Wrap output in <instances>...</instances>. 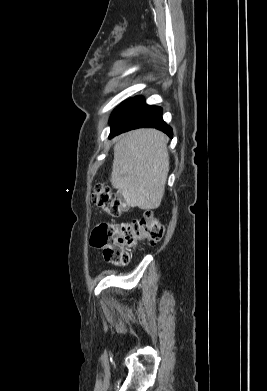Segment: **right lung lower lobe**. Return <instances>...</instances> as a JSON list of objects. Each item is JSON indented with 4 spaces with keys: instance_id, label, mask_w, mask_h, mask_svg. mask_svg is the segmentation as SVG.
Listing matches in <instances>:
<instances>
[{
    "instance_id": "1",
    "label": "right lung lower lobe",
    "mask_w": 267,
    "mask_h": 391,
    "mask_svg": "<svg viewBox=\"0 0 267 391\" xmlns=\"http://www.w3.org/2000/svg\"><path fill=\"white\" fill-rule=\"evenodd\" d=\"M110 138L137 128H156L172 138L173 132L162 119V108L145 104L142 97L130 99L111 119Z\"/></svg>"
}]
</instances>
